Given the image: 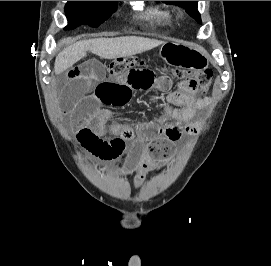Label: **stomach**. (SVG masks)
I'll use <instances>...</instances> for the list:
<instances>
[{"label":"stomach","instance_id":"obj_1","mask_svg":"<svg viewBox=\"0 0 271 266\" xmlns=\"http://www.w3.org/2000/svg\"><path fill=\"white\" fill-rule=\"evenodd\" d=\"M159 56L175 68L202 70L209 64L206 54L200 47L179 41L164 43Z\"/></svg>","mask_w":271,"mask_h":266}]
</instances>
